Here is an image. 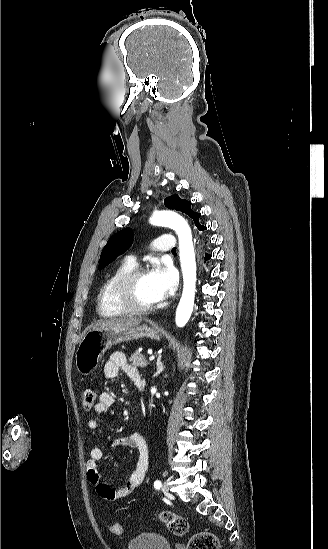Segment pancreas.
<instances>
[{"instance_id":"cf45deb5","label":"pancreas","mask_w":328,"mask_h":549,"mask_svg":"<svg viewBox=\"0 0 328 549\" xmlns=\"http://www.w3.org/2000/svg\"><path fill=\"white\" fill-rule=\"evenodd\" d=\"M129 361H131L133 367H147L148 365L145 357H143L139 351H135V353L131 355Z\"/></svg>"}]
</instances>
